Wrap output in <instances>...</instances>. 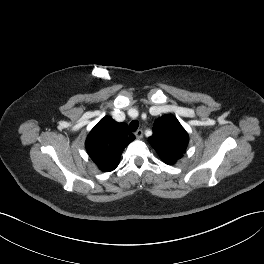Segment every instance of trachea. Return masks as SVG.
Here are the masks:
<instances>
[{
  "instance_id": "3493384b",
  "label": "trachea",
  "mask_w": 264,
  "mask_h": 264,
  "mask_svg": "<svg viewBox=\"0 0 264 264\" xmlns=\"http://www.w3.org/2000/svg\"><path fill=\"white\" fill-rule=\"evenodd\" d=\"M138 127H139V124H138V122L136 120L131 121L130 124H129V130L131 132L136 131L138 129Z\"/></svg>"
}]
</instances>
